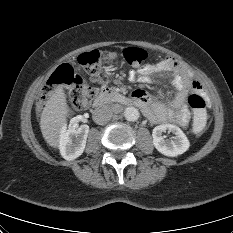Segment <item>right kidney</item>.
I'll list each match as a JSON object with an SVG mask.
<instances>
[{"label": "right kidney", "instance_id": "ca27d5eb", "mask_svg": "<svg viewBox=\"0 0 233 233\" xmlns=\"http://www.w3.org/2000/svg\"><path fill=\"white\" fill-rule=\"evenodd\" d=\"M89 133L88 125H81L77 128H61L59 149L62 157L68 161L74 160L82 155Z\"/></svg>", "mask_w": 233, "mask_h": 233}]
</instances>
